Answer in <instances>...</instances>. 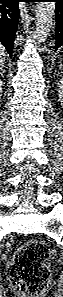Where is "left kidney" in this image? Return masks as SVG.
I'll return each mask as SVG.
<instances>
[{"label": "left kidney", "instance_id": "1", "mask_svg": "<svg viewBox=\"0 0 63 297\" xmlns=\"http://www.w3.org/2000/svg\"><path fill=\"white\" fill-rule=\"evenodd\" d=\"M58 86H59L58 88L59 101L63 103V80H60L58 82Z\"/></svg>", "mask_w": 63, "mask_h": 297}]
</instances>
